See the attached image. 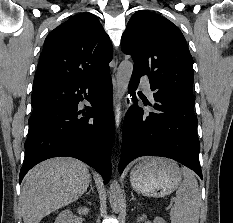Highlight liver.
Returning <instances> with one entry per match:
<instances>
[{
    "mask_svg": "<svg viewBox=\"0 0 233 223\" xmlns=\"http://www.w3.org/2000/svg\"><path fill=\"white\" fill-rule=\"evenodd\" d=\"M90 177L86 163L73 157H53L32 167L20 193L24 223H39L51 211L79 199Z\"/></svg>",
    "mask_w": 233,
    "mask_h": 223,
    "instance_id": "6515ba94",
    "label": "liver"
}]
</instances>
